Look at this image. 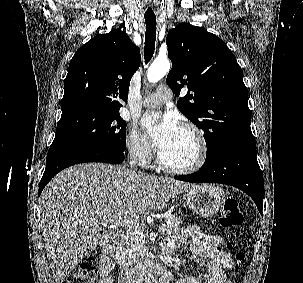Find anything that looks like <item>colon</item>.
Masks as SVG:
<instances>
[{
	"label": "colon",
	"instance_id": "obj_1",
	"mask_svg": "<svg viewBox=\"0 0 303 283\" xmlns=\"http://www.w3.org/2000/svg\"><path fill=\"white\" fill-rule=\"evenodd\" d=\"M220 225L225 229L242 228L243 216L237 200L227 199L225 201L220 213ZM235 259V271L238 272L245 261L244 253H237ZM97 269V259L90 256L79 265L71 276L65 279L64 283H93Z\"/></svg>",
	"mask_w": 303,
	"mask_h": 283
}]
</instances>
